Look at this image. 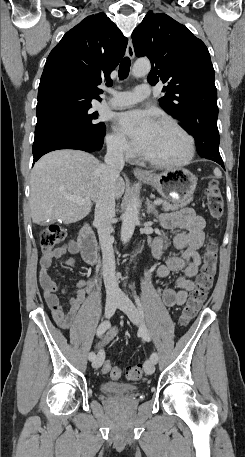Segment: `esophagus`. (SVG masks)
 I'll return each instance as SVG.
<instances>
[{"label": "esophagus", "instance_id": "1", "mask_svg": "<svg viewBox=\"0 0 245 457\" xmlns=\"http://www.w3.org/2000/svg\"><path fill=\"white\" fill-rule=\"evenodd\" d=\"M126 55L127 57L133 59L134 58V48L132 44V40H129L127 49H126ZM133 173L135 176H142V177H149L150 173L146 172L145 170H142L141 168H134Z\"/></svg>", "mask_w": 245, "mask_h": 457}]
</instances>
